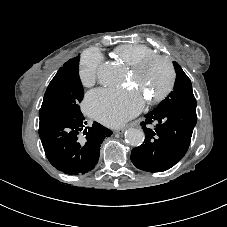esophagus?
<instances>
[{"label": "esophagus", "mask_w": 227, "mask_h": 227, "mask_svg": "<svg viewBox=\"0 0 227 227\" xmlns=\"http://www.w3.org/2000/svg\"><path fill=\"white\" fill-rule=\"evenodd\" d=\"M126 128H120L118 130H116V133L118 134H123L125 132Z\"/></svg>", "instance_id": "obj_1"}]
</instances>
